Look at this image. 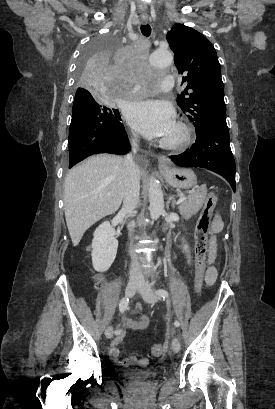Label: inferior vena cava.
Returning a JSON list of instances; mask_svg holds the SVG:
<instances>
[{"instance_id":"obj_1","label":"inferior vena cava","mask_w":275,"mask_h":409,"mask_svg":"<svg viewBox=\"0 0 275 409\" xmlns=\"http://www.w3.org/2000/svg\"><path fill=\"white\" fill-rule=\"evenodd\" d=\"M136 144L133 142V152H129L126 154L124 158V192H123V207L122 213H126V215H133L135 213V209L139 202V190H140V182H139V166L135 164L133 160V154L136 152L137 148H135ZM133 225H128L129 231H132ZM131 255V267H130V281H137V283H142L144 281L143 273L141 271L140 263L137 259L136 253L134 251H130Z\"/></svg>"}]
</instances>
